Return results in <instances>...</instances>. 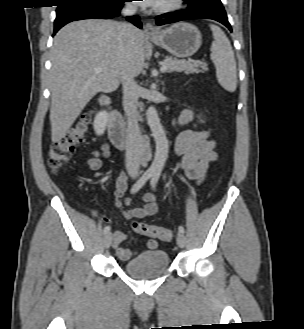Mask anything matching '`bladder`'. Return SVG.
Segmentation results:
<instances>
[{
	"instance_id": "bladder-1",
	"label": "bladder",
	"mask_w": 304,
	"mask_h": 329,
	"mask_svg": "<svg viewBox=\"0 0 304 329\" xmlns=\"http://www.w3.org/2000/svg\"><path fill=\"white\" fill-rule=\"evenodd\" d=\"M170 265L169 254L155 249L140 253L123 264V270L130 276L146 279L162 274Z\"/></svg>"
}]
</instances>
